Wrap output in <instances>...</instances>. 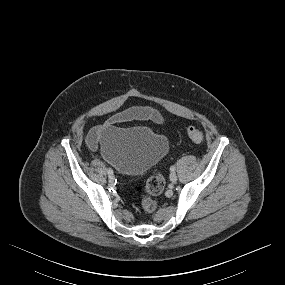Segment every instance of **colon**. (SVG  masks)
Returning <instances> with one entry per match:
<instances>
[{"mask_svg": "<svg viewBox=\"0 0 285 285\" xmlns=\"http://www.w3.org/2000/svg\"><path fill=\"white\" fill-rule=\"evenodd\" d=\"M187 136L195 143H200L204 139L202 130L190 126L186 129ZM165 186L164 178L160 175L151 176L145 185H136L133 187V193L141 199L142 208L148 212H154L157 208L155 197L159 195Z\"/></svg>", "mask_w": 285, "mask_h": 285, "instance_id": "obj_1", "label": "colon"}]
</instances>
